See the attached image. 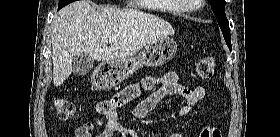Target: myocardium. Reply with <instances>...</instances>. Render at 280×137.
<instances>
[{
	"label": "myocardium",
	"mask_w": 280,
	"mask_h": 137,
	"mask_svg": "<svg viewBox=\"0 0 280 137\" xmlns=\"http://www.w3.org/2000/svg\"><path fill=\"white\" fill-rule=\"evenodd\" d=\"M199 2H203V0H199ZM200 5V4H199ZM187 9L190 10H195L197 8L198 5H192V4H185L184 5Z\"/></svg>",
	"instance_id": "obj_1"
}]
</instances>
